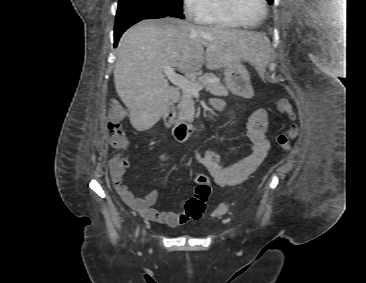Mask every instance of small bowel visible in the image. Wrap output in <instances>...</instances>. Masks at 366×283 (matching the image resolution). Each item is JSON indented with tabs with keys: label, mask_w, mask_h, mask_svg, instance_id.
<instances>
[{
	"label": "small bowel",
	"mask_w": 366,
	"mask_h": 283,
	"mask_svg": "<svg viewBox=\"0 0 366 283\" xmlns=\"http://www.w3.org/2000/svg\"><path fill=\"white\" fill-rule=\"evenodd\" d=\"M211 104L219 111L225 108V103L218 98L212 99ZM268 127V111L259 108L250 114L247 121L246 135L252 143V151L248 156L230 165H225L222 155L214 150L195 151L194 158L208 170L218 186L229 187L240 184L259 167L267 156L270 147L267 137ZM169 159L168 154L159 156V160L163 162ZM126 168L127 166L120 164L119 156L109 160V170L114 187L127 205L144 218L170 227L180 226L187 221L183 214L152 208L158 197L156 190L150 191L143 198L135 197L123 182Z\"/></svg>",
	"instance_id": "small-bowel-1"
}]
</instances>
